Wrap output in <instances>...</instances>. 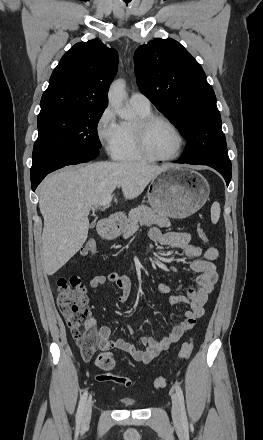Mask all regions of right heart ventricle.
I'll return each mask as SVG.
<instances>
[{
	"mask_svg": "<svg viewBox=\"0 0 263 440\" xmlns=\"http://www.w3.org/2000/svg\"><path fill=\"white\" fill-rule=\"evenodd\" d=\"M135 112L139 117H145L151 114V110H139L135 109ZM132 126L128 124H122V137L119 147L114 155L115 159L120 161H140L144 158L137 152L134 143V137L132 133Z\"/></svg>",
	"mask_w": 263,
	"mask_h": 440,
	"instance_id": "e07e8e85",
	"label": "right heart ventricle"
}]
</instances>
